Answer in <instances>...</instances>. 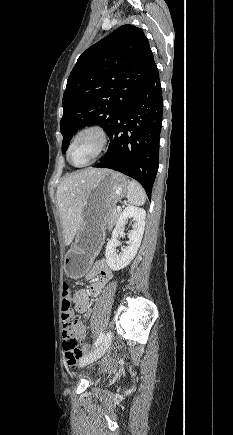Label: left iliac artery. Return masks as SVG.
<instances>
[{
	"label": "left iliac artery",
	"instance_id": "left-iliac-artery-1",
	"mask_svg": "<svg viewBox=\"0 0 233 435\" xmlns=\"http://www.w3.org/2000/svg\"><path fill=\"white\" fill-rule=\"evenodd\" d=\"M103 338H104V333H101V334L98 336V338H97V340L95 341V343L93 344V345H94V348L97 347V346L102 342Z\"/></svg>",
	"mask_w": 233,
	"mask_h": 435
}]
</instances>
